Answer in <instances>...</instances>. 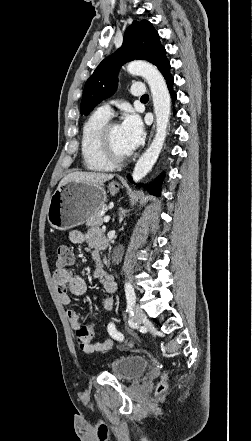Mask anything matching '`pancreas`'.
Instances as JSON below:
<instances>
[{"label":"pancreas","mask_w":252,"mask_h":441,"mask_svg":"<svg viewBox=\"0 0 252 441\" xmlns=\"http://www.w3.org/2000/svg\"><path fill=\"white\" fill-rule=\"evenodd\" d=\"M106 208V205L101 206L95 213H93L86 221L90 226H101L103 224L101 212Z\"/></svg>","instance_id":"obj_1"}]
</instances>
